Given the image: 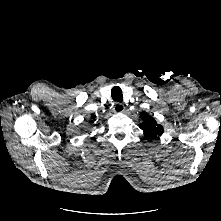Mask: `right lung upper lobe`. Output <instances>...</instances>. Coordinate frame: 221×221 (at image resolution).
Masks as SVG:
<instances>
[{"mask_svg":"<svg viewBox=\"0 0 221 221\" xmlns=\"http://www.w3.org/2000/svg\"><path fill=\"white\" fill-rule=\"evenodd\" d=\"M91 117H92V118H95V116H94V115H92Z\"/></svg>","mask_w":221,"mask_h":221,"instance_id":"1","label":"right lung upper lobe"}]
</instances>
